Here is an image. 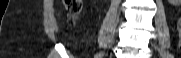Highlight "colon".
<instances>
[{
    "mask_svg": "<svg viewBox=\"0 0 181 58\" xmlns=\"http://www.w3.org/2000/svg\"><path fill=\"white\" fill-rule=\"evenodd\" d=\"M64 6L67 10L68 16L73 20L81 11V0H64ZM179 44L181 47V18L178 22Z\"/></svg>",
    "mask_w": 181,
    "mask_h": 58,
    "instance_id": "1",
    "label": "colon"
}]
</instances>
